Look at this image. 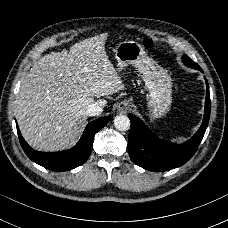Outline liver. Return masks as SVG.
<instances>
[{
  "instance_id": "6515ba94",
  "label": "liver",
  "mask_w": 228,
  "mask_h": 228,
  "mask_svg": "<svg viewBox=\"0 0 228 228\" xmlns=\"http://www.w3.org/2000/svg\"><path fill=\"white\" fill-rule=\"evenodd\" d=\"M107 38L101 34L72 45L69 52L50 53L23 78L15 114L31 146L41 150L72 146L86 123V107L92 103L105 107L101 98L126 89L106 51Z\"/></svg>"
}]
</instances>
